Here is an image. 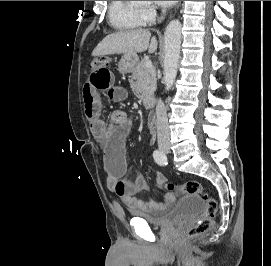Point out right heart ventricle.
<instances>
[{"mask_svg": "<svg viewBox=\"0 0 271 266\" xmlns=\"http://www.w3.org/2000/svg\"><path fill=\"white\" fill-rule=\"evenodd\" d=\"M108 16L111 25L118 30H132L144 25L141 9L131 1H111Z\"/></svg>", "mask_w": 271, "mask_h": 266, "instance_id": "right-heart-ventricle-1", "label": "right heart ventricle"}]
</instances>
